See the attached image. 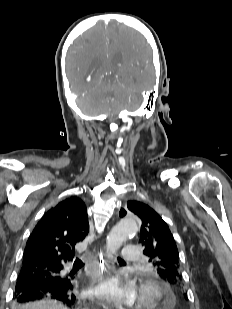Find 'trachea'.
Returning a JSON list of instances; mask_svg holds the SVG:
<instances>
[{
  "label": "trachea",
  "instance_id": "obj_1",
  "mask_svg": "<svg viewBox=\"0 0 232 309\" xmlns=\"http://www.w3.org/2000/svg\"><path fill=\"white\" fill-rule=\"evenodd\" d=\"M117 259H118V261L124 262L121 258H117ZM74 263L75 264H82V261L79 258H76Z\"/></svg>",
  "mask_w": 232,
  "mask_h": 309
}]
</instances>
